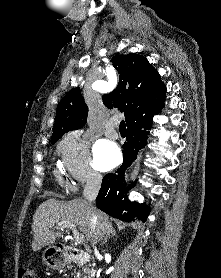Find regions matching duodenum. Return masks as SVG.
Listing matches in <instances>:
<instances>
[{
	"mask_svg": "<svg viewBox=\"0 0 221 278\" xmlns=\"http://www.w3.org/2000/svg\"><path fill=\"white\" fill-rule=\"evenodd\" d=\"M59 252L63 254L64 259L68 261H74V260H85V254L82 250L76 249L73 247H69L66 245H59L58 248Z\"/></svg>",
	"mask_w": 221,
	"mask_h": 278,
	"instance_id": "1",
	"label": "duodenum"
}]
</instances>
